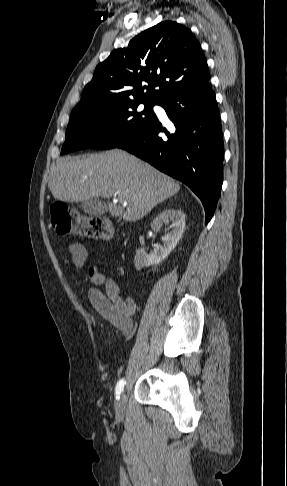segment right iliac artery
I'll return each mask as SVG.
<instances>
[{
	"instance_id": "1",
	"label": "right iliac artery",
	"mask_w": 287,
	"mask_h": 486,
	"mask_svg": "<svg viewBox=\"0 0 287 486\" xmlns=\"http://www.w3.org/2000/svg\"><path fill=\"white\" fill-rule=\"evenodd\" d=\"M124 386H125V380L124 379H121L117 385H116V389H115V394H116V397L118 398L119 395L121 394V392L123 391L124 389Z\"/></svg>"
}]
</instances>
